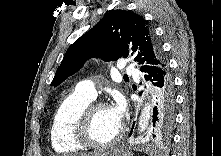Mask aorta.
I'll use <instances>...</instances> for the list:
<instances>
[{
    "label": "aorta",
    "mask_w": 221,
    "mask_h": 156,
    "mask_svg": "<svg viewBox=\"0 0 221 156\" xmlns=\"http://www.w3.org/2000/svg\"><path fill=\"white\" fill-rule=\"evenodd\" d=\"M149 119H150V108L146 107L143 110L139 123H138V127H137L138 134H141L147 128Z\"/></svg>",
    "instance_id": "aorta-1"
}]
</instances>
